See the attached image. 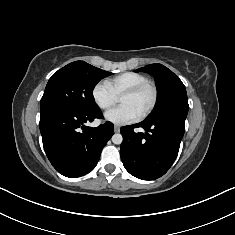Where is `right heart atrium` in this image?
<instances>
[{
    "label": "right heart atrium",
    "instance_id": "1",
    "mask_svg": "<svg viewBox=\"0 0 235 235\" xmlns=\"http://www.w3.org/2000/svg\"><path fill=\"white\" fill-rule=\"evenodd\" d=\"M91 96L94 103L101 110H109L117 101V96L112 91L107 81L97 82L92 88Z\"/></svg>",
    "mask_w": 235,
    "mask_h": 235
}]
</instances>
